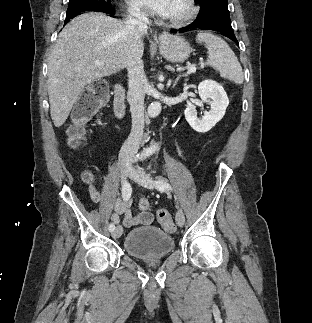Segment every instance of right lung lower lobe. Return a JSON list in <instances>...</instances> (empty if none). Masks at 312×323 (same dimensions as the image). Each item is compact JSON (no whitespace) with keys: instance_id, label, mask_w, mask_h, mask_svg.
<instances>
[{"instance_id":"obj_1","label":"right lung lower lobe","mask_w":312,"mask_h":323,"mask_svg":"<svg viewBox=\"0 0 312 323\" xmlns=\"http://www.w3.org/2000/svg\"><path fill=\"white\" fill-rule=\"evenodd\" d=\"M95 11H100V12L108 13V14H110L112 17H114V15H115V10H113V9L95 10ZM76 15H78V14H76ZM76 15H73L72 17H68V18H66V19H65V24H64V25H66V23H67V22H69V20H70L71 18L75 17Z\"/></svg>"}]
</instances>
